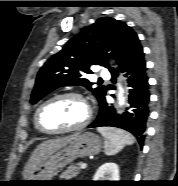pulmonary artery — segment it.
Masks as SVG:
<instances>
[{"label":"pulmonary artery","mask_w":178,"mask_h":186,"mask_svg":"<svg viewBox=\"0 0 178 186\" xmlns=\"http://www.w3.org/2000/svg\"><path fill=\"white\" fill-rule=\"evenodd\" d=\"M100 75L104 78H107L109 76V73L106 68L100 67Z\"/></svg>","instance_id":"pulmonary-artery-1"}]
</instances>
